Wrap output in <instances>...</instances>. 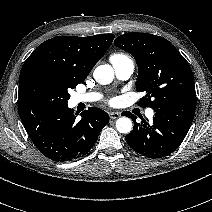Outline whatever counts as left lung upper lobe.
<instances>
[{"instance_id":"5c2ea615","label":"left lung upper lobe","mask_w":212,"mask_h":212,"mask_svg":"<svg viewBox=\"0 0 212 212\" xmlns=\"http://www.w3.org/2000/svg\"><path fill=\"white\" fill-rule=\"evenodd\" d=\"M114 44L137 62L136 89L146 93L138 103L141 107L155 110L179 100H196L191 68L168 40L148 33H126Z\"/></svg>"}]
</instances>
